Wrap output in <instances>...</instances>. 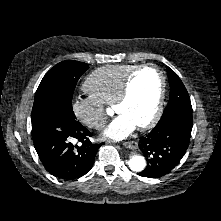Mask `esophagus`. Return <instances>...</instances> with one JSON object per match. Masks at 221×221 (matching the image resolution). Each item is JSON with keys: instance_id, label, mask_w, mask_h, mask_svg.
Wrapping results in <instances>:
<instances>
[{"instance_id": "esophagus-1", "label": "esophagus", "mask_w": 221, "mask_h": 221, "mask_svg": "<svg viewBox=\"0 0 221 221\" xmlns=\"http://www.w3.org/2000/svg\"><path fill=\"white\" fill-rule=\"evenodd\" d=\"M126 148L136 149L138 146V143L136 141H127L123 144Z\"/></svg>"}]
</instances>
